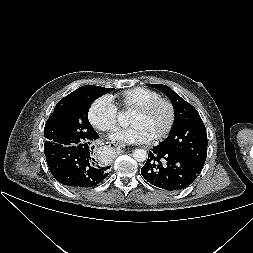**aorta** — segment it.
<instances>
[{"instance_id": "1", "label": "aorta", "mask_w": 253, "mask_h": 253, "mask_svg": "<svg viewBox=\"0 0 253 253\" xmlns=\"http://www.w3.org/2000/svg\"><path fill=\"white\" fill-rule=\"evenodd\" d=\"M118 121L121 125H126V120L125 117L120 114L118 116ZM148 157V154L146 152V150L141 149V148H137L133 151V158L137 161V162H144Z\"/></svg>"}]
</instances>
